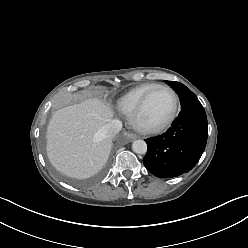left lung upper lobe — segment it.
Returning <instances> with one entry per match:
<instances>
[{
	"label": "left lung upper lobe",
	"instance_id": "1",
	"mask_svg": "<svg viewBox=\"0 0 248 248\" xmlns=\"http://www.w3.org/2000/svg\"><path fill=\"white\" fill-rule=\"evenodd\" d=\"M178 94L181 103V109L195 104L199 100L195 94L190 91L185 85L174 81H165Z\"/></svg>",
	"mask_w": 248,
	"mask_h": 248
}]
</instances>
